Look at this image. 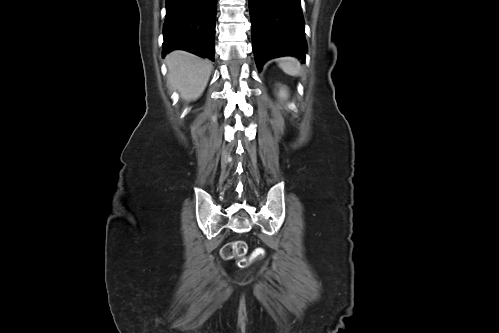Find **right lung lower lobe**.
Segmentation results:
<instances>
[{"label":"right lung lower lobe","instance_id":"1","mask_svg":"<svg viewBox=\"0 0 499 333\" xmlns=\"http://www.w3.org/2000/svg\"><path fill=\"white\" fill-rule=\"evenodd\" d=\"M217 0H166L162 54L183 49L214 61Z\"/></svg>","mask_w":499,"mask_h":333}]
</instances>
